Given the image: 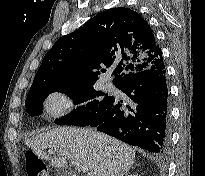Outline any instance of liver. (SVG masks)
<instances>
[{
	"mask_svg": "<svg viewBox=\"0 0 205 176\" xmlns=\"http://www.w3.org/2000/svg\"><path fill=\"white\" fill-rule=\"evenodd\" d=\"M25 145L58 168L65 169L67 160L79 162L89 169V176H124L135 159L132 147L90 129L58 127L26 139ZM46 148L57 156H49Z\"/></svg>",
	"mask_w": 205,
	"mask_h": 176,
	"instance_id": "liver-1",
	"label": "liver"
}]
</instances>
